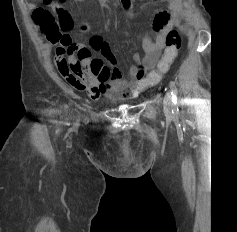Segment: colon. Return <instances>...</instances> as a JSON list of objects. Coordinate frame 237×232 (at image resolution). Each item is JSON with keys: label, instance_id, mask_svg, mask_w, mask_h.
Returning <instances> with one entry per match:
<instances>
[{"label": "colon", "instance_id": "colon-1", "mask_svg": "<svg viewBox=\"0 0 237 232\" xmlns=\"http://www.w3.org/2000/svg\"><path fill=\"white\" fill-rule=\"evenodd\" d=\"M64 1L44 0L49 9L37 8L33 12L34 22L51 44L65 45L71 42L69 33L74 23L69 12L61 6V2ZM165 44L166 48L157 69L151 71L146 77L148 86L157 85L162 80V76L169 71L181 47L179 33L176 30H171L166 37Z\"/></svg>", "mask_w": 237, "mask_h": 232}]
</instances>
